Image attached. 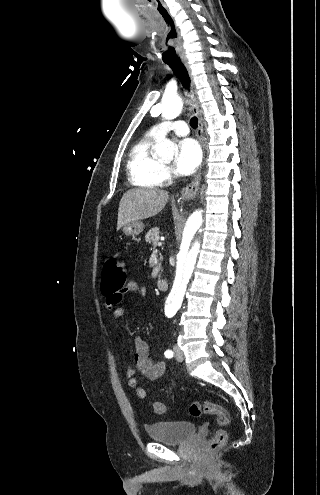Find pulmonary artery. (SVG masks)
Returning <instances> with one entry per match:
<instances>
[{
    "label": "pulmonary artery",
    "mask_w": 320,
    "mask_h": 495,
    "mask_svg": "<svg viewBox=\"0 0 320 495\" xmlns=\"http://www.w3.org/2000/svg\"><path fill=\"white\" fill-rule=\"evenodd\" d=\"M169 132H174L179 136H185L189 133V129L184 121H175L158 124L150 131V133L156 137H161Z\"/></svg>",
    "instance_id": "pulmonary-artery-1"
}]
</instances>
